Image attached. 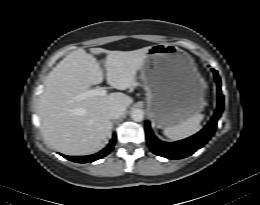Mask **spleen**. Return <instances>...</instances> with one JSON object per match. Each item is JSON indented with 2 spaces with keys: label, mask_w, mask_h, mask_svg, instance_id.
Instances as JSON below:
<instances>
[{
  "label": "spleen",
  "mask_w": 260,
  "mask_h": 205,
  "mask_svg": "<svg viewBox=\"0 0 260 205\" xmlns=\"http://www.w3.org/2000/svg\"><path fill=\"white\" fill-rule=\"evenodd\" d=\"M203 119V114H197L179 125L164 129V135L175 141L190 137L200 130V123Z\"/></svg>",
  "instance_id": "spleen-1"
}]
</instances>
